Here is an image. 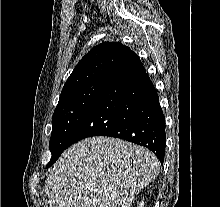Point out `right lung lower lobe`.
<instances>
[{"label": "right lung lower lobe", "mask_w": 220, "mask_h": 207, "mask_svg": "<svg viewBox=\"0 0 220 207\" xmlns=\"http://www.w3.org/2000/svg\"><path fill=\"white\" fill-rule=\"evenodd\" d=\"M111 136L144 146L164 160L165 119L159 97L138 61L108 77L69 140Z\"/></svg>", "instance_id": "1"}]
</instances>
